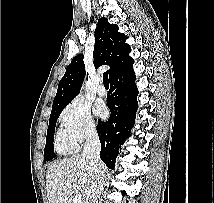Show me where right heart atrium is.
<instances>
[{
  "instance_id": "d8ad5b80",
  "label": "right heart atrium",
  "mask_w": 214,
  "mask_h": 203,
  "mask_svg": "<svg viewBox=\"0 0 214 203\" xmlns=\"http://www.w3.org/2000/svg\"><path fill=\"white\" fill-rule=\"evenodd\" d=\"M59 123L76 147L93 137L97 131L90 107L80 99H74L63 109Z\"/></svg>"
}]
</instances>
